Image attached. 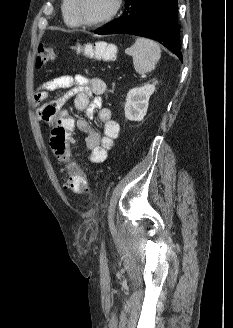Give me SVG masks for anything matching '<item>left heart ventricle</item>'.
I'll use <instances>...</instances> for the list:
<instances>
[{
  "label": "left heart ventricle",
  "instance_id": "1",
  "mask_svg": "<svg viewBox=\"0 0 233 328\" xmlns=\"http://www.w3.org/2000/svg\"><path fill=\"white\" fill-rule=\"evenodd\" d=\"M114 6V0H80V13L84 20L98 21L106 17Z\"/></svg>",
  "mask_w": 233,
  "mask_h": 328
}]
</instances>
